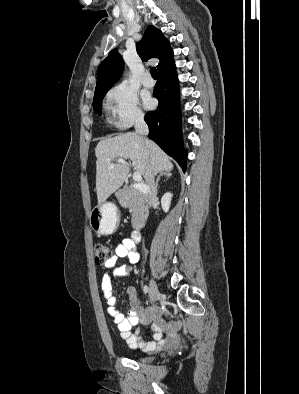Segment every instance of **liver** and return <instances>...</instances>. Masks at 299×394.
Segmentation results:
<instances>
[{
	"label": "liver",
	"mask_w": 299,
	"mask_h": 394,
	"mask_svg": "<svg viewBox=\"0 0 299 394\" xmlns=\"http://www.w3.org/2000/svg\"><path fill=\"white\" fill-rule=\"evenodd\" d=\"M96 192L98 204L118 190L129 173L128 166L113 163L115 159H130L136 172L147 182L150 171L154 174L170 171V158L154 142L146 145L144 138L136 133H124L101 140L96 148Z\"/></svg>",
	"instance_id": "liver-1"
}]
</instances>
